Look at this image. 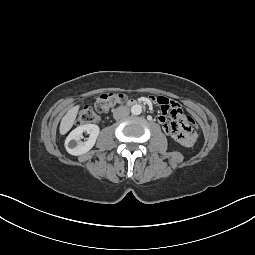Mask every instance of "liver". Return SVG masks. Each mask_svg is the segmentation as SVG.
Segmentation results:
<instances>
[{
	"label": "liver",
	"mask_w": 255,
	"mask_h": 255,
	"mask_svg": "<svg viewBox=\"0 0 255 255\" xmlns=\"http://www.w3.org/2000/svg\"><path fill=\"white\" fill-rule=\"evenodd\" d=\"M79 105H76L69 109L65 116L62 118L60 127H59V132L61 135L66 134L73 126L78 110H79Z\"/></svg>",
	"instance_id": "1"
}]
</instances>
